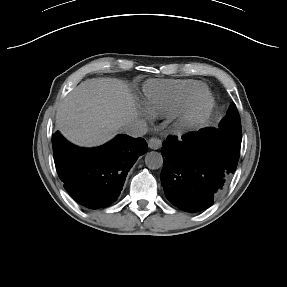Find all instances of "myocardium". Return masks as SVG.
Wrapping results in <instances>:
<instances>
[{"instance_id": "f54148a6", "label": "myocardium", "mask_w": 287, "mask_h": 287, "mask_svg": "<svg viewBox=\"0 0 287 287\" xmlns=\"http://www.w3.org/2000/svg\"><path fill=\"white\" fill-rule=\"evenodd\" d=\"M215 100L207 90L192 95L175 114L176 128L180 132H188L202 123L212 112Z\"/></svg>"}]
</instances>
